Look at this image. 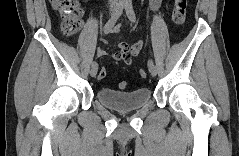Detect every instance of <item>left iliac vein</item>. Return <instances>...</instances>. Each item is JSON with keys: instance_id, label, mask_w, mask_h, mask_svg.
<instances>
[{"instance_id": "4c4485c4", "label": "left iliac vein", "mask_w": 239, "mask_h": 156, "mask_svg": "<svg viewBox=\"0 0 239 156\" xmlns=\"http://www.w3.org/2000/svg\"><path fill=\"white\" fill-rule=\"evenodd\" d=\"M149 71H150V73H151L152 76H156V75H157V68H156L155 65L150 66V67H149Z\"/></svg>"}]
</instances>
